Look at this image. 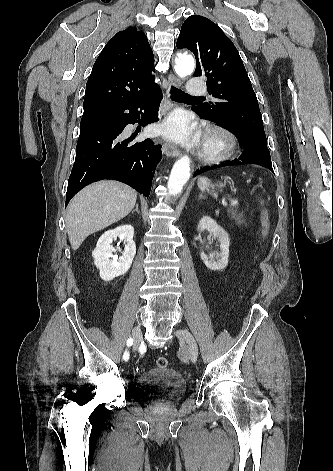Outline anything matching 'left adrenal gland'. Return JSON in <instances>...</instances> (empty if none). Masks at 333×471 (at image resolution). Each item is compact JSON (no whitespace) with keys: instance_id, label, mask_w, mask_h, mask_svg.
Returning <instances> with one entry per match:
<instances>
[{"instance_id":"left-adrenal-gland-1","label":"left adrenal gland","mask_w":333,"mask_h":471,"mask_svg":"<svg viewBox=\"0 0 333 471\" xmlns=\"http://www.w3.org/2000/svg\"><path fill=\"white\" fill-rule=\"evenodd\" d=\"M204 198H205V197H204V195H203L202 193L199 194V198H198L199 200H200V199H204Z\"/></svg>"}]
</instances>
